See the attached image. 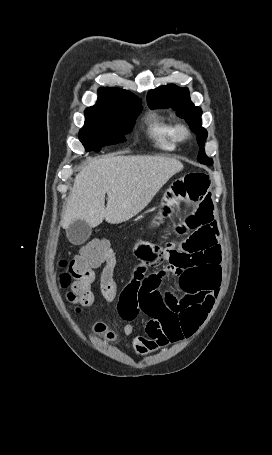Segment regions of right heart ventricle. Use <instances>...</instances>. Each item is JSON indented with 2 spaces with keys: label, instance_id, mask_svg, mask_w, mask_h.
<instances>
[{
  "label": "right heart ventricle",
  "instance_id": "right-heart-ventricle-1",
  "mask_svg": "<svg viewBox=\"0 0 272 455\" xmlns=\"http://www.w3.org/2000/svg\"><path fill=\"white\" fill-rule=\"evenodd\" d=\"M147 137L159 150L174 151L178 144L176 124L163 114L150 112L145 118Z\"/></svg>",
  "mask_w": 272,
  "mask_h": 455
}]
</instances>
